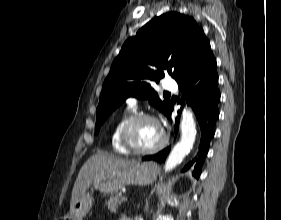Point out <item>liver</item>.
I'll return each mask as SVG.
<instances>
[{"instance_id": "1", "label": "liver", "mask_w": 281, "mask_h": 220, "mask_svg": "<svg viewBox=\"0 0 281 220\" xmlns=\"http://www.w3.org/2000/svg\"><path fill=\"white\" fill-rule=\"evenodd\" d=\"M136 163L137 161L135 160L121 159L104 152H98L90 157L80 169L78 177L74 183L70 208L75 205L99 175L106 172L125 169Z\"/></svg>"}]
</instances>
